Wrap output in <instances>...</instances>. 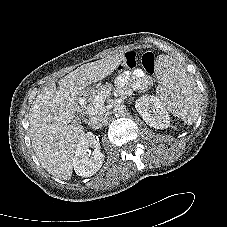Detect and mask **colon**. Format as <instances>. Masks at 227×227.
Returning <instances> with one entry per match:
<instances>
[{
	"label": "colon",
	"instance_id": "colon-1",
	"mask_svg": "<svg viewBox=\"0 0 227 227\" xmlns=\"http://www.w3.org/2000/svg\"><path fill=\"white\" fill-rule=\"evenodd\" d=\"M141 66L149 73L153 74L156 69V57L152 52H146L141 56ZM137 66V57L134 52H128L121 65V69H133Z\"/></svg>",
	"mask_w": 227,
	"mask_h": 227
}]
</instances>
